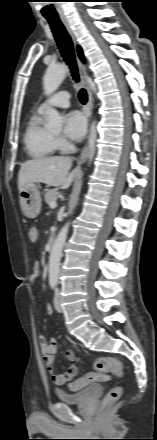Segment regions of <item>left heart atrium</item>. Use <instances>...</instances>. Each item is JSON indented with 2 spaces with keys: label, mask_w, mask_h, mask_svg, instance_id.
Wrapping results in <instances>:
<instances>
[{
  "label": "left heart atrium",
  "mask_w": 157,
  "mask_h": 440,
  "mask_svg": "<svg viewBox=\"0 0 157 440\" xmlns=\"http://www.w3.org/2000/svg\"><path fill=\"white\" fill-rule=\"evenodd\" d=\"M87 131L86 119L79 113H70L64 120V135L73 141L81 140Z\"/></svg>",
  "instance_id": "obj_1"
}]
</instances>
